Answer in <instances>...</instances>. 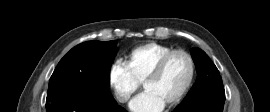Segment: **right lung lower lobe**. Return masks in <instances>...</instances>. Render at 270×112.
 <instances>
[{
	"mask_svg": "<svg viewBox=\"0 0 270 112\" xmlns=\"http://www.w3.org/2000/svg\"><path fill=\"white\" fill-rule=\"evenodd\" d=\"M47 112H127L113 98L102 101L77 89H67L46 99Z\"/></svg>",
	"mask_w": 270,
	"mask_h": 112,
	"instance_id": "98d812e1",
	"label": "right lung lower lobe"
}]
</instances>
